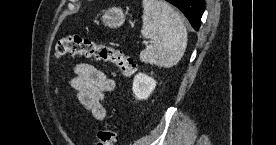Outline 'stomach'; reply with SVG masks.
<instances>
[{"label": "stomach", "mask_w": 276, "mask_h": 145, "mask_svg": "<svg viewBox=\"0 0 276 145\" xmlns=\"http://www.w3.org/2000/svg\"><path fill=\"white\" fill-rule=\"evenodd\" d=\"M126 19V14L122 11L121 8H110L104 11L102 16V22L105 26L116 28L121 26Z\"/></svg>", "instance_id": "stomach-1"}]
</instances>
